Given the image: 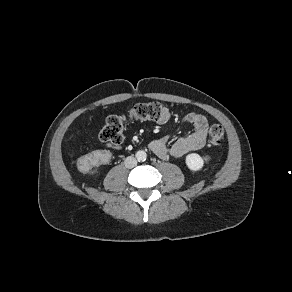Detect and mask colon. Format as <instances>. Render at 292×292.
<instances>
[{
  "label": "colon",
  "mask_w": 292,
  "mask_h": 292,
  "mask_svg": "<svg viewBox=\"0 0 292 292\" xmlns=\"http://www.w3.org/2000/svg\"><path fill=\"white\" fill-rule=\"evenodd\" d=\"M163 113V107L158 102L138 103L128 110L126 114L111 115L107 118L100 132V140L110 144H121L124 138L123 132L128 120L134 121H158ZM224 138V129L220 124H213L209 129V140L212 145H219ZM110 159L107 151L94 152L84 157L79 166L87 169L95 163H106ZM208 160V156L205 157Z\"/></svg>",
  "instance_id": "1"
}]
</instances>
